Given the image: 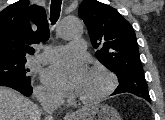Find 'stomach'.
Returning a JSON list of instances; mask_svg holds the SVG:
<instances>
[{"label": "stomach", "mask_w": 165, "mask_h": 120, "mask_svg": "<svg viewBox=\"0 0 165 120\" xmlns=\"http://www.w3.org/2000/svg\"><path fill=\"white\" fill-rule=\"evenodd\" d=\"M74 120H122L119 112L106 104H96L84 107L74 117Z\"/></svg>", "instance_id": "0dacf381"}]
</instances>
